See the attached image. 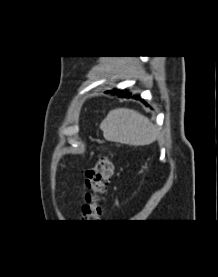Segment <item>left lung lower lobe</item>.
Here are the masks:
<instances>
[{"mask_svg": "<svg viewBox=\"0 0 218 277\" xmlns=\"http://www.w3.org/2000/svg\"><path fill=\"white\" fill-rule=\"evenodd\" d=\"M106 93H111L113 95H118V96H121V97H124V98H133V99H136V100H141L143 101L140 96L138 95H134V96H131V94L127 91H124V90H117V89H114V90H111V91H106ZM147 104V103H145Z\"/></svg>", "mask_w": 218, "mask_h": 277, "instance_id": "left-lung-lower-lobe-1", "label": "left lung lower lobe"}]
</instances>
